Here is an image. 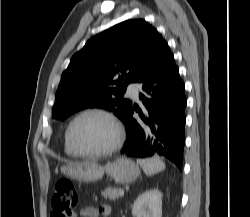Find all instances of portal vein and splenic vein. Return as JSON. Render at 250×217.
I'll return each mask as SVG.
<instances>
[{
  "label": "portal vein and splenic vein",
  "mask_w": 250,
  "mask_h": 217,
  "mask_svg": "<svg viewBox=\"0 0 250 217\" xmlns=\"http://www.w3.org/2000/svg\"><path fill=\"white\" fill-rule=\"evenodd\" d=\"M119 195H120V196H123V195H124V191L121 190V191L119 192Z\"/></svg>",
  "instance_id": "obj_1"
}]
</instances>
